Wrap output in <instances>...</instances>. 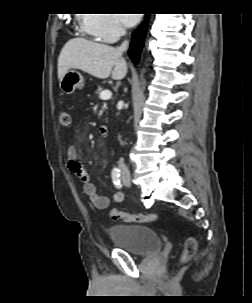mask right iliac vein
Instances as JSON below:
<instances>
[{"instance_id":"right-iliac-vein-1","label":"right iliac vein","mask_w":252,"mask_h":303,"mask_svg":"<svg viewBox=\"0 0 252 303\" xmlns=\"http://www.w3.org/2000/svg\"><path fill=\"white\" fill-rule=\"evenodd\" d=\"M124 177H125V179H129V175H125Z\"/></svg>"}]
</instances>
